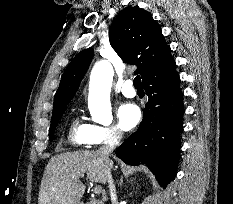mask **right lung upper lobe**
<instances>
[{
    "label": "right lung upper lobe",
    "instance_id": "cb5924a9",
    "mask_svg": "<svg viewBox=\"0 0 233 204\" xmlns=\"http://www.w3.org/2000/svg\"><path fill=\"white\" fill-rule=\"evenodd\" d=\"M112 48L121 59L136 65L143 82L151 75L175 64L161 33V27L152 15L139 8L126 7L109 29ZM93 57L91 48L79 52L66 68L55 95L52 118L64 113L66 105L75 95Z\"/></svg>",
    "mask_w": 233,
    "mask_h": 204
}]
</instances>
